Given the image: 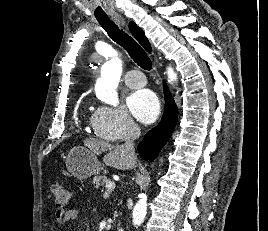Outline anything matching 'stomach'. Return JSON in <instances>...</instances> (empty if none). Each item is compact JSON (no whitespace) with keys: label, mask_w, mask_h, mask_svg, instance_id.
Returning <instances> with one entry per match:
<instances>
[{"label":"stomach","mask_w":268,"mask_h":231,"mask_svg":"<svg viewBox=\"0 0 268 231\" xmlns=\"http://www.w3.org/2000/svg\"><path fill=\"white\" fill-rule=\"evenodd\" d=\"M67 170L72 176L82 180L99 174L101 164L97 156L85 146L70 149L65 159Z\"/></svg>","instance_id":"obj_1"}]
</instances>
